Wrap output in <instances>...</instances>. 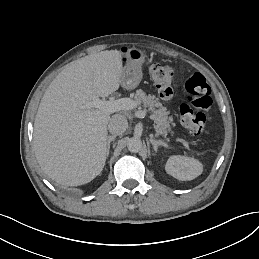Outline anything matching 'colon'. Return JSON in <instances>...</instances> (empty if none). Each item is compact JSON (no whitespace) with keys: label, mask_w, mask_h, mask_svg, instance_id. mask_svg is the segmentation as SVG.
I'll return each mask as SVG.
<instances>
[{"label":"colon","mask_w":259,"mask_h":259,"mask_svg":"<svg viewBox=\"0 0 259 259\" xmlns=\"http://www.w3.org/2000/svg\"><path fill=\"white\" fill-rule=\"evenodd\" d=\"M150 76L164 99L173 95V69L165 64L154 63L149 69ZM188 103L179 108L180 123L193 135H200L205 131L209 120V110L212 106L211 89L205 76L199 72L193 73L185 82Z\"/></svg>","instance_id":"obj_1"}]
</instances>
